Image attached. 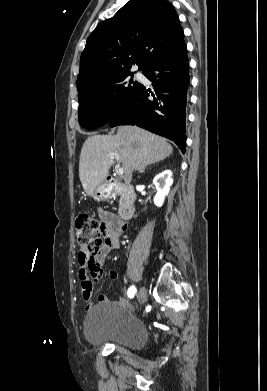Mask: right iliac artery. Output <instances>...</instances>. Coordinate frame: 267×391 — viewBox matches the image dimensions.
I'll return each instance as SVG.
<instances>
[{"label":"right iliac artery","mask_w":267,"mask_h":391,"mask_svg":"<svg viewBox=\"0 0 267 391\" xmlns=\"http://www.w3.org/2000/svg\"><path fill=\"white\" fill-rule=\"evenodd\" d=\"M135 292H136L135 287H134V286L130 287V289L128 290V296H129V298H133Z\"/></svg>","instance_id":"obj_1"}]
</instances>
